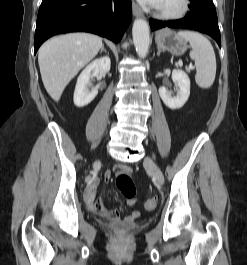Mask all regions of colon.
<instances>
[{"mask_svg":"<svg viewBox=\"0 0 247 265\" xmlns=\"http://www.w3.org/2000/svg\"><path fill=\"white\" fill-rule=\"evenodd\" d=\"M116 185L119 191L127 198L134 199L136 196V186L133 179L127 174H119L116 179ZM157 206V199L152 197L145 201L144 208L147 211H152Z\"/></svg>","mask_w":247,"mask_h":265,"instance_id":"colon-1","label":"colon"}]
</instances>
